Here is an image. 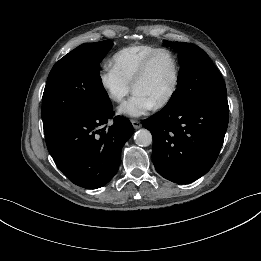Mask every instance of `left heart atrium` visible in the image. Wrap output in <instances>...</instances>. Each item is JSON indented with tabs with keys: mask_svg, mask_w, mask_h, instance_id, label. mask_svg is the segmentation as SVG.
Returning <instances> with one entry per match:
<instances>
[{
	"mask_svg": "<svg viewBox=\"0 0 261 261\" xmlns=\"http://www.w3.org/2000/svg\"><path fill=\"white\" fill-rule=\"evenodd\" d=\"M155 107V104L144 94L140 92H135L133 95L124 102L118 109L119 113L122 115L130 117H139Z\"/></svg>",
	"mask_w": 261,
	"mask_h": 261,
	"instance_id": "left-heart-atrium-1",
	"label": "left heart atrium"
}]
</instances>
